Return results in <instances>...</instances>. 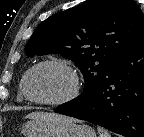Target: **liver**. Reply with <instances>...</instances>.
Instances as JSON below:
<instances>
[{
	"mask_svg": "<svg viewBox=\"0 0 144 137\" xmlns=\"http://www.w3.org/2000/svg\"><path fill=\"white\" fill-rule=\"evenodd\" d=\"M27 119L32 121H52V120H66L70 119L64 115L56 113H47V112H33L25 116ZM73 121V119H70Z\"/></svg>",
	"mask_w": 144,
	"mask_h": 137,
	"instance_id": "1",
	"label": "liver"
}]
</instances>
